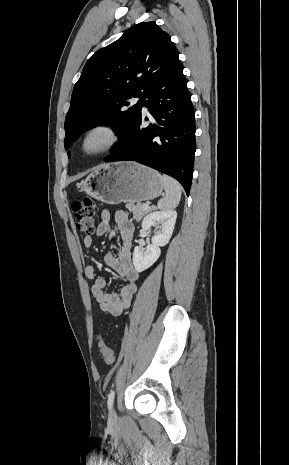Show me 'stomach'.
<instances>
[{
	"label": "stomach",
	"instance_id": "obj_1",
	"mask_svg": "<svg viewBox=\"0 0 289 465\" xmlns=\"http://www.w3.org/2000/svg\"><path fill=\"white\" fill-rule=\"evenodd\" d=\"M77 187L107 204L139 203L158 197L164 188L159 172L135 162H117L95 169Z\"/></svg>",
	"mask_w": 289,
	"mask_h": 465
}]
</instances>
